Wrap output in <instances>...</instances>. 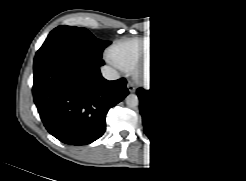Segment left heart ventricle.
<instances>
[{"label":"left heart ventricle","instance_id":"b2bd125f","mask_svg":"<svg viewBox=\"0 0 246 181\" xmlns=\"http://www.w3.org/2000/svg\"><path fill=\"white\" fill-rule=\"evenodd\" d=\"M170 53H174V58H170L169 62L167 63V56L165 57V64H163V60L162 58H159L155 61V59L153 60V62L151 63V65L149 66V71H153V69H158L159 71H163V70H167V68H171L175 62V49L171 48ZM155 61V62H154Z\"/></svg>","mask_w":246,"mask_h":181}]
</instances>
